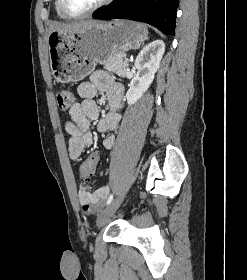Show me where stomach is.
<instances>
[{
	"label": "stomach",
	"instance_id": "0dacf381",
	"mask_svg": "<svg viewBox=\"0 0 247 280\" xmlns=\"http://www.w3.org/2000/svg\"><path fill=\"white\" fill-rule=\"evenodd\" d=\"M147 35L144 24L129 20L99 22L75 33L51 32L47 42L52 74L61 83L80 81L98 63L138 49Z\"/></svg>",
	"mask_w": 247,
	"mask_h": 280
}]
</instances>
